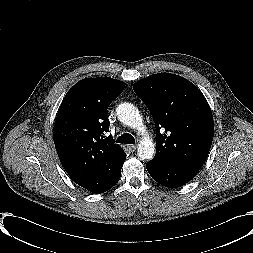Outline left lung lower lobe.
I'll return each mask as SVG.
<instances>
[{
	"mask_svg": "<svg viewBox=\"0 0 253 253\" xmlns=\"http://www.w3.org/2000/svg\"><path fill=\"white\" fill-rule=\"evenodd\" d=\"M146 168L151 177L161 185L169 188L180 187L188 183L200 168L192 166H174L149 161Z\"/></svg>",
	"mask_w": 253,
	"mask_h": 253,
	"instance_id": "obj_1",
	"label": "left lung lower lobe"
}]
</instances>
